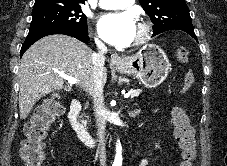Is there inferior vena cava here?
<instances>
[{
	"instance_id": "1",
	"label": "inferior vena cava",
	"mask_w": 227,
	"mask_h": 166,
	"mask_svg": "<svg viewBox=\"0 0 227 166\" xmlns=\"http://www.w3.org/2000/svg\"><path fill=\"white\" fill-rule=\"evenodd\" d=\"M95 43L98 49L97 53L93 54V79L94 87L92 92L94 112L96 114L97 124V136L99 145V158L100 166H106V149H105V118H104V98H103V87H104V63L105 55L108 51L106 45L99 39H95Z\"/></svg>"
}]
</instances>
